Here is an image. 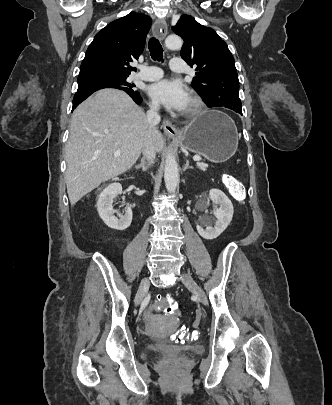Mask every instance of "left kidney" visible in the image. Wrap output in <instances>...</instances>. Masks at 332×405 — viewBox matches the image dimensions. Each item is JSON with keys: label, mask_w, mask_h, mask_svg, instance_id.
<instances>
[{"label": "left kidney", "mask_w": 332, "mask_h": 405, "mask_svg": "<svg viewBox=\"0 0 332 405\" xmlns=\"http://www.w3.org/2000/svg\"><path fill=\"white\" fill-rule=\"evenodd\" d=\"M209 196L215 204L213 212L216 217L215 225L212 227L207 220H202L201 224L206 228L200 225H197L196 228L201 237L212 240L217 238L230 224L234 208L230 199L221 190L212 189L209 192Z\"/></svg>", "instance_id": "left-kidney-1"}]
</instances>
